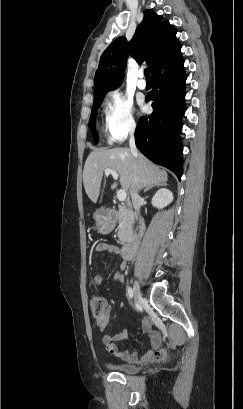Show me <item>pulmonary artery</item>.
I'll return each instance as SVG.
<instances>
[{"label":"pulmonary artery","mask_w":243,"mask_h":409,"mask_svg":"<svg viewBox=\"0 0 243 409\" xmlns=\"http://www.w3.org/2000/svg\"><path fill=\"white\" fill-rule=\"evenodd\" d=\"M143 76H144L143 72H140L139 73V79L137 81V87L139 89H141V90H144L147 87V84H146L145 80L143 79Z\"/></svg>","instance_id":"pulmonary-artery-1"}]
</instances>
